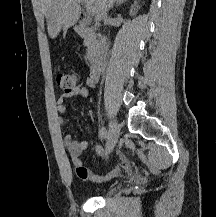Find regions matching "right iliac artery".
<instances>
[{
  "label": "right iliac artery",
  "instance_id": "82829eb1",
  "mask_svg": "<svg viewBox=\"0 0 216 217\" xmlns=\"http://www.w3.org/2000/svg\"><path fill=\"white\" fill-rule=\"evenodd\" d=\"M100 135H101V138L104 139V140L107 138L108 132H107V130H106L105 127H102V128H101V133H100Z\"/></svg>",
  "mask_w": 216,
  "mask_h": 217
}]
</instances>
